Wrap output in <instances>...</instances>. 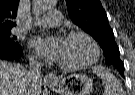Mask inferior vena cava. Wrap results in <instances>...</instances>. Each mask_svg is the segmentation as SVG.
<instances>
[{"label":"inferior vena cava","mask_w":135,"mask_h":95,"mask_svg":"<svg viewBox=\"0 0 135 95\" xmlns=\"http://www.w3.org/2000/svg\"><path fill=\"white\" fill-rule=\"evenodd\" d=\"M40 63L35 56H30L29 57V66L26 70L27 77L29 81H33L35 77L39 74L37 69L39 68Z\"/></svg>","instance_id":"obj_1"}]
</instances>
